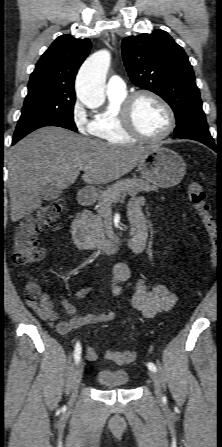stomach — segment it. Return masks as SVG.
<instances>
[{"mask_svg": "<svg viewBox=\"0 0 222 447\" xmlns=\"http://www.w3.org/2000/svg\"><path fill=\"white\" fill-rule=\"evenodd\" d=\"M138 170L147 181L158 187L169 188L181 182L186 165L175 151L154 147L139 163Z\"/></svg>", "mask_w": 222, "mask_h": 447, "instance_id": "1", "label": "stomach"}]
</instances>
